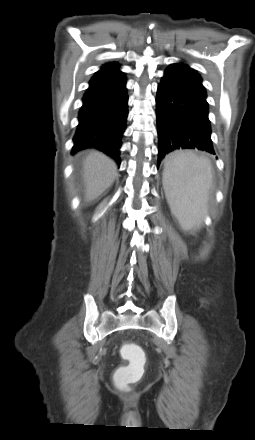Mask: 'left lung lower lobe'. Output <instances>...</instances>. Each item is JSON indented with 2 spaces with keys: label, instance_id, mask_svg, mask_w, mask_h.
<instances>
[{
  "label": "left lung lower lobe",
  "instance_id": "obj_1",
  "mask_svg": "<svg viewBox=\"0 0 255 440\" xmlns=\"http://www.w3.org/2000/svg\"><path fill=\"white\" fill-rule=\"evenodd\" d=\"M158 164L176 149H199L215 154L211 140L204 87L169 67L156 97Z\"/></svg>",
  "mask_w": 255,
  "mask_h": 440
}]
</instances>
